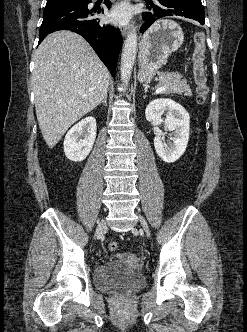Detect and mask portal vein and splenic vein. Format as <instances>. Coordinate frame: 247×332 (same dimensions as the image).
Wrapping results in <instances>:
<instances>
[{"instance_id": "portal-vein-and-splenic-vein-1", "label": "portal vein and splenic vein", "mask_w": 247, "mask_h": 332, "mask_svg": "<svg viewBox=\"0 0 247 332\" xmlns=\"http://www.w3.org/2000/svg\"><path fill=\"white\" fill-rule=\"evenodd\" d=\"M166 89V86H161V87H158L157 89H156V93H161V92H163L164 90Z\"/></svg>"}]
</instances>
